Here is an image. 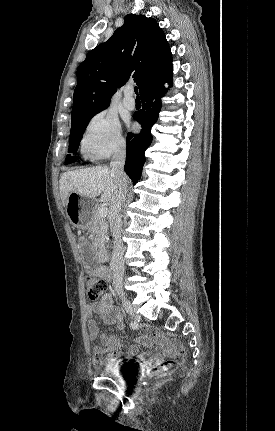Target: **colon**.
Returning <instances> with one entry per match:
<instances>
[{"label":"colon","mask_w":275,"mask_h":431,"mask_svg":"<svg viewBox=\"0 0 275 431\" xmlns=\"http://www.w3.org/2000/svg\"><path fill=\"white\" fill-rule=\"evenodd\" d=\"M86 285H87V295L88 298L92 301L97 300L105 290L104 281L98 277L97 275L90 273L86 276ZM166 365H162L161 367H156L153 369V374L161 375L165 373Z\"/></svg>","instance_id":"colon-1"}]
</instances>
